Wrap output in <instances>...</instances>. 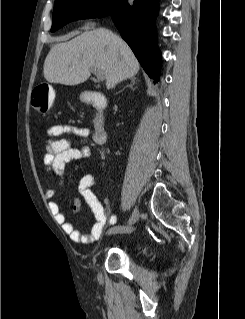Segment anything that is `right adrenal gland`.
Here are the masks:
<instances>
[{"label": "right adrenal gland", "mask_w": 245, "mask_h": 319, "mask_svg": "<svg viewBox=\"0 0 245 319\" xmlns=\"http://www.w3.org/2000/svg\"><path fill=\"white\" fill-rule=\"evenodd\" d=\"M136 84V78H132L130 84H128L126 87H130L131 89H135L133 86ZM124 87V89L126 88ZM122 91V90H121Z\"/></svg>", "instance_id": "1"}]
</instances>
